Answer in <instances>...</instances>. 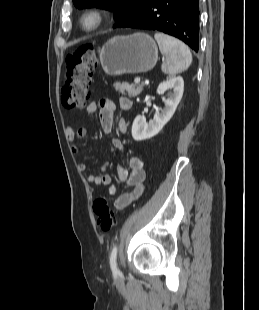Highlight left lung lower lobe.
<instances>
[{
	"mask_svg": "<svg viewBox=\"0 0 259 310\" xmlns=\"http://www.w3.org/2000/svg\"><path fill=\"white\" fill-rule=\"evenodd\" d=\"M118 27L158 30L194 51L199 47V0H152Z\"/></svg>",
	"mask_w": 259,
	"mask_h": 310,
	"instance_id": "1",
	"label": "left lung lower lobe"
}]
</instances>
